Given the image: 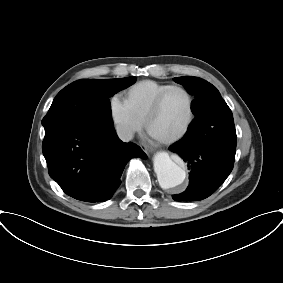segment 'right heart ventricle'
Instances as JSON below:
<instances>
[{"mask_svg": "<svg viewBox=\"0 0 283 283\" xmlns=\"http://www.w3.org/2000/svg\"><path fill=\"white\" fill-rule=\"evenodd\" d=\"M170 85L155 80H142L125 91L124 100L134 116L143 123L156 97Z\"/></svg>", "mask_w": 283, "mask_h": 283, "instance_id": "1", "label": "right heart ventricle"}]
</instances>
